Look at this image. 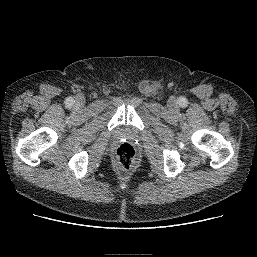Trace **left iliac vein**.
I'll return each mask as SVG.
<instances>
[{"label": "left iliac vein", "instance_id": "obj_1", "mask_svg": "<svg viewBox=\"0 0 257 257\" xmlns=\"http://www.w3.org/2000/svg\"><path fill=\"white\" fill-rule=\"evenodd\" d=\"M168 107L171 108V109H174V108L177 107V99L175 97H171L168 100Z\"/></svg>", "mask_w": 257, "mask_h": 257}]
</instances>
